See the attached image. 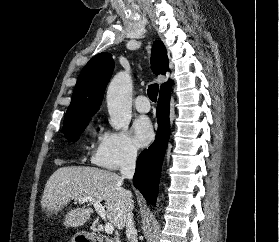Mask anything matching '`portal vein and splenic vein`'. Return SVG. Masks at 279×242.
I'll return each instance as SVG.
<instances>
[{
	"label": "portal vein and splenic vein",
	"mask_w": 279,
	"mask_h": 242,
	"mask_svg": "<svg viewBox=\"0 0 279 242\" xmlns=\"http://www.w3.org/2000/svg\"><path fill=\"white\" fill-rule=\"evenodd\" d=\"M77 201L80 202V203L90 202L94 206L95 210L99 213V215L104 220H106L105 209L102 206V204L100 203V201H97V200H95L93 198H90V197H79V198H77ZM104 229H105V232L107 234H113V232H114L113 224L110 223V222H107V221H105Z\"/></svg>",
	"instance_id": "1"
}]
</instances>
